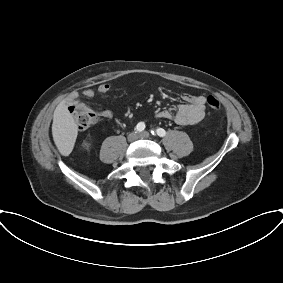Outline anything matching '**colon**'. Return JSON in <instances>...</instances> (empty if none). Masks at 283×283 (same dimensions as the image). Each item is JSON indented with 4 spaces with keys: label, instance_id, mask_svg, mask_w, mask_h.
Returning a JSON list of instances; mask_svg holds the SVG:
<instances>
[{
    "label": "colon",
    "instance_id": "colon-1",
    "mask_svg": "<svg viewBox=\"0 0 283 283\" xmlns=\"http://www.w3.org/2000/svg\"><path fill=\"white\" fill-rule=\"evenodd\" d=\"M207 104L212 111H218L220 109V102L214 96L207 97ZM70 113L81 129H86L93 125L96 120V114L85 106H73L70 108Z\"/></svg>",
    "mask_w": 283,
    "mask_h": 283
}]
</instances>
